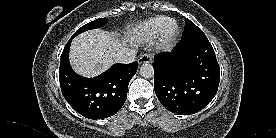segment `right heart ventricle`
Returning <instances> with one entry per match:
<instances>
[{
	"label": "right heart ventricle",
	"instance_id": "1",
	"mask_svg": "<svg viewBox=\"0 0 276 138\" xmlns=\"http://www.w3.org/2000/svg\"><path fill=\"white\" fill-rule=\"evenodd\" d=\"M169 17L160 15L146 20L130 30V37L138 43L149 42L159 35L163 24Z\"/></svg>",
	"mask_w": 276,
	"mask_h": 138
}]
</instances>
